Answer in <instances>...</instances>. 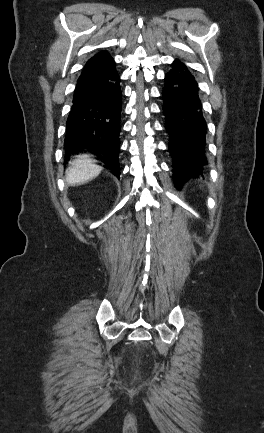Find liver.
<instances>
[{
  "label": "liver",
  "instance_id": "6515ba94",
  "mask_svg": "<svg viewBox=\"0 0 264 433\" xmlns=\"http://www.w3.org/2000/svg\"><path fill=\"white\" fill-rule=\"evenodd\" d=\"M71 166L66 170V183L69 185L84 184L96 178L102 167L93 163L88 155L78 156L70 162Z\"/></svg>",
  "mask_w": 264,
  "mask_h": 433
}]
</instances>
